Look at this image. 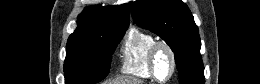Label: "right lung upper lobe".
<instances>
[{"label":"right lung upper lobe","instance_id":"cb5924a9","mask_svg":"<svg viewBox=\"0 0 260 84\" xmlns=\"http://www.w3.org/2000/svg\"><path fill=\"white\" fill-rule=\"evenodd\" d=\"M78 27L67 43L89 41L107 29L128 28L127 4L120 6H89L78 16Z\"/></svg>","mask_w":260,"mask_h":84}]
</instances>
